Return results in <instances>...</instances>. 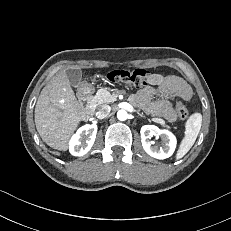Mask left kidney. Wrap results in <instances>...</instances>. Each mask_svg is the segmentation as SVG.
Here are the masks:
<instances>
[{
    "mask_svg": "<svg viewBox=\"0 0 231 231\" xmlns=\"http://www.w3.org/2000/svg\"><path fill=\"white\" fill-rule=\"evenodd\" d=\"M141 142L143 149L147 154L156 159H166L170 157L176 148L177 140L174 134L167 129H159L154 125H144L141 127ZM156 133L164 141V145L160 148L153 146L149 141L150 136Z\"/></svg>",
    "mask_w": 231,
    "mask_h": 231,
    "instance_id": "5707ae66",
    "label": "left kidney"
}]
</instances>
